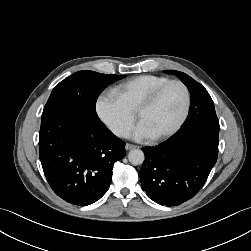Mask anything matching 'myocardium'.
<instances>
[{"mask_svg": "<svg viewBox=\"0 0 251 251\" xmlns=\"http://www.w3.org/2000/svg\"><path fill=\"white\" fill-rule=\"evenodd\" d=\"M173 84H177L179 86L182 87L183 91H184V95H185V103H184V107H183V111L178 119V121L175 123V125L169 129L168 131L154 136L152 137V140L154 141H163L166 140L170 137H172L173 135H175L180 128L183 126V124L185 123L188 114H189V110H190V104H191V95H190V91L189 88L187 87V85L181 81V80H168L167 82L163 83L162 85H160L159 87H157L137 108L136 110V117L139 120L140 115L150 109L151 107H153L155 105V103L158 101V99L160 98V96L162 95V93L170 86Z\"/></svg>", "mask_w": 251, "mask_h": 251, "instance_id": "f54148a6", "label": "myocardium"}]
</instances>
